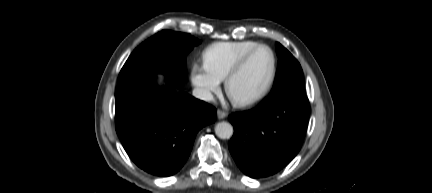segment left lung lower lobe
Here are the masks:
<instances>
[{"instance_id": "obj_1", "label": "left lung lower lobe", "mask_w": 432, "mask_h": 193, "mask_svg": "<svg viewBox=\"0 0 432 193\" xmlns=\"http://www.w3.org/2000/svg\"><path fill=\"white\" fill-rule=\"evenodd\" d=\"M309 111L306 96L275 95L252 110L230 115L234 135L229 150L243 173L266 177L289 163L301 148Z\"/></svg>"}]
</instances>
